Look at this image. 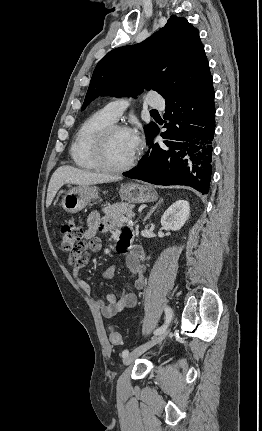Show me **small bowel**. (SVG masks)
Returning a JSON list of instances; mask_svg holds the SVG:
<instances>
[{
  "label": "small bowel",
  "instance_id": "1",
  "mask_svg": "<svg viewBox=\"0 0 262 431\" xmlns=\"http://www.w3.org/2000/svg\"><path fill=\"white\" fill-rule=\"evenodd\" d=\"M88 228L85 232V239L90 240L96 238V232L111 231L120 240L121 248L127 247L128 252L125 258V264L132 276V284L135 289L141 290L144 288V264H143V249L139 245L132 244L133 229L128 226L116 225L110 220L101 217L98 212H93L87 220ZM101 248L100 241L92 245L88 250L77 256H70L68 264L74 267V277L78 287L85 293L91 291V285L83 280L79 275V269L84 267L92 253L99 251ZM114 269H109L104 273L105 277H111ZM101 314L104 318H112L117 313L125 308H133L137 304V296L135 293L122 289L120 293L111 291L106 295V302L99 300L97 302Z\"/></svg>",
  "mask_w": 262,
  "mask_h": 431
}]
</instances>
